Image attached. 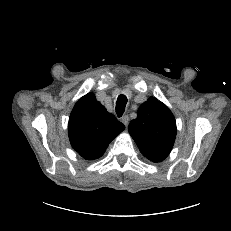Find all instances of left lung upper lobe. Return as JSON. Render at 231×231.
<instances>
[{
	"label": "left lung upper lobe",
	"mask_w": 231,
	"mask_h": 231,
	"mask_svg": "<svg viewBox=\"0 0 231 231\" xmlns=\"http://www.w3.org/2000/svg\"><path fill=\"white\" fill-rule=\"evenodd\" d=\"M128 130L144 157L161 162L172 150L177 129L170 109L150 97L140 106L137 118L130 122Z\"/></svg>",
	"instance_id": "5c2ea615"
}]
</instances>
